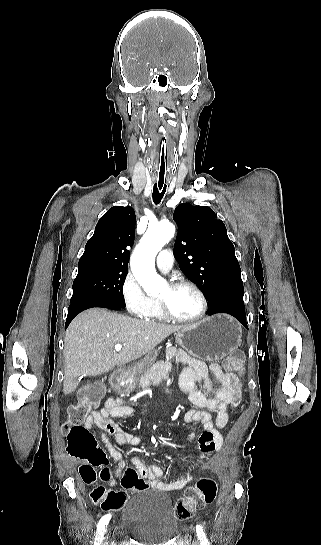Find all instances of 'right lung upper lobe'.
<instances>
[{
  "label": "right lung upper lobe",
  "mask_w": 321,
  "mask_h": 545,
  "mask_svg": "<svg viewBox=\"0 0 321 545\" xmlns=\"http://www.w3.org/2000/svg\"><path fill=\"white\" fill-rule=\"evenodd\" d=\"M135 212L132 207L114 206L101 217L85 246L78 268L101 266L127 269L129 250L135 237Z\"/></svg>",
  "instance_id": "1"
}]
</instances>
